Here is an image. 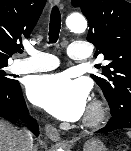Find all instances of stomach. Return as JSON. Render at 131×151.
Instances as JSON below:
<instances>
[{"mask_svg": "<svg viewBox=\"0 0 131 151\" xmlns=\"http://www.w3.org/2000/svg\"><path fill=\"white\" fill-rule=\"evenodd\" d=\"M83 151H107V148L102 141L92 138L85 142Z\"/></svg>", "mask_w": 131, "mask_h": 151, "instance_id": "obj_1", "label": "stomach"}]
</instances>
